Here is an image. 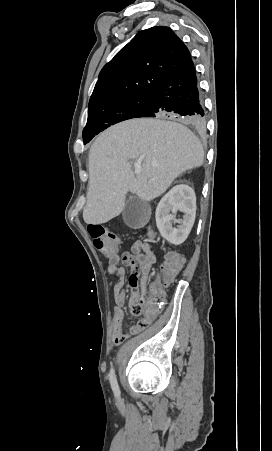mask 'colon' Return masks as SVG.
<instances>
[{"instance_id":"colon-1","label":"colon","mask_w":272,"mask_h":451,"mask_svg":"<svg viewBox=\"0 0 272 451\" xmlns=\"http://www.w3.org/2000/svg\"><path fill=\"white\" fill-rule=\"evenodd\" d=\"M88 232L93 239L96 249L102 252L103 256H116L117 254V236L113 232H109L103 226H88ZM167 262H162V274L158 280L165 285H168L172 278L175 277V271H181L183 264L178 259L176 251H167L165 253ZM122 264L129 269L135 271H149L150 265L146 258H137L131 252H123L120 255ZM117 261L114 258L109 259L108 264L111 270L118 268ZM170 302V295L167 294L166 288H143L142 294L139 295V302L132 306V313L134 315L140 314L142 310H155L156 307ZM148 326L147 320L138 321L132 328L131 332L138 333ZM124 335L122 332L115 330L113 341L116 345L120 344Z\"/></svg>"}]
</instances>
